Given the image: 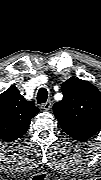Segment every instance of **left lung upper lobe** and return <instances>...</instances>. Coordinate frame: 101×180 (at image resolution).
<instances>
[{
  "label": "left lung upper lobe",
  "instance_id": "5c2ea615",
  "mask_svg": "<svg viewBox=\"0 0 101 180\" xmlns=\"http://www.w3.org/2000/svg\"><path fill=\"white\" fill-rule=\"evenodd\" d=\"M63 99L53 112L65 133L86 141L101 127V93L90 82L71 77L61 85Z\"/></svg>",
  "mask_w": 101,
  "mask_h": 180
}]
</instances>
